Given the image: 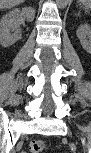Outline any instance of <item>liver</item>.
I'll use <instances>...</instances> for the list:
<instances>
[{
    "label": "liver",
    "instance_id": "obj_1",
    "mask_svg": "<svg viewBox=\"0 0 91 153\" xmlns=\"http://www.w3.org/2000/svg\"><path fill=\"white\" fill-rule=\"evenodd\" d=\"M23 1L24 0H1L0 4L2 8H11L22 3Z\"/></svg>",
    "mask_w": 91,
    "mask_h": 153
}]
</instances>
